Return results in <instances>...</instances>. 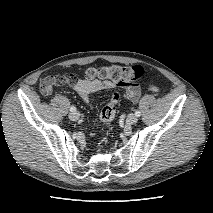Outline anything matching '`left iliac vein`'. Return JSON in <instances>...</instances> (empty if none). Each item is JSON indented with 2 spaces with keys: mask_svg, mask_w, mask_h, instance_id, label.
Here are the masks:
<instances>
[{
  "mask_svg": "<svg viewBox=\"0 0 213 213\" xmlns=\"http://www.w3.org/2000/svg\"><path fill=\"white\" fill-rule=\"evenodd\" d=\"M126 121L128 124L132 125L138 121V118L134 114H129Z\"/></svg>",
  "mask_w": 213,
  "mask_h": 213,
  "instance_id": "4c4485c4",
  "label": "left iliac vein"
}]
</instances>
